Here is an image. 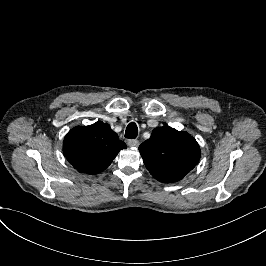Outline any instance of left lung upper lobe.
I'll return each mask as SVG.
<instances>
[{
    "label": "left lung upper lobe",
    "mask_w": 266,
    "mask_h": 266,
    "mask_svg": "<svg viewBox=\"0 0 266 266\" xmlns=\"http://www.w3.org/2000/svg\"><path fill=\"white\" fill-rule=\"evenodd\" d=\"M139 151L149 172L163 183L183 179L197 165L201 154L190 134L170 126L155 128Z\"/></svg>",
    "instance_id": "5c2ea615"
}]
</instances>
